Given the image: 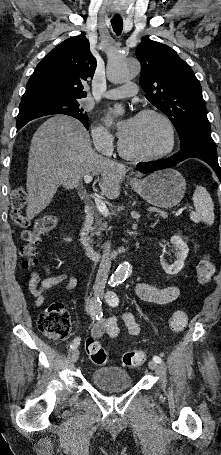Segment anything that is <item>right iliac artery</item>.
I'll use <instances>...</instances> for the list:
<instances>
[{
    "mask_svg": "<svg viewBox=\"0 0 221 455\" xmlns=\"http://www.w3.org/2000/svg\"><path fill=\"white\" fill-rule=\"evenodd\" d=\"M102 302L99 299V297H95L93 300L90 301L89 303V313L93 319L99 320L102 318L103 313H102ZM80 344V338H75L70 346L71 350L76 349Z\"/></svg>",
    "mask_w": 221,
    "mask_h": 455,
    "instance_id": "right-iliac-artery-1",
    "label": "right iliac artery"
}]
</instances>
